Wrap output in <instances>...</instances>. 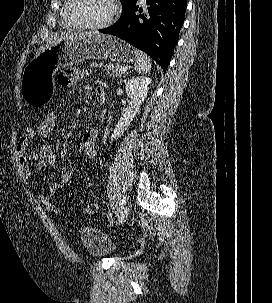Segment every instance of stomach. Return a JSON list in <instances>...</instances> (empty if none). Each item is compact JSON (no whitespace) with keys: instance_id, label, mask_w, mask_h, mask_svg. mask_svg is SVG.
Here are the masks:
<instances>
[{"instance_id":"stomach-1","label":"stomach","mask_w":272,"mask_h":303,"mask_svg":"<svg viewBox=\"0 0 272 303\" xmlns=\"http://www.w3.org/2000/svg\"><path fill=\"white\" fill-rule=\"evenodd\" d=\"M86 59L130 63L137 60L135 49L124 41L99 33L66 39L49 46L25 67L21 95L30 106L47 103L52 95L53 76L64 68Z\"/></svg>"}]
</instances>
